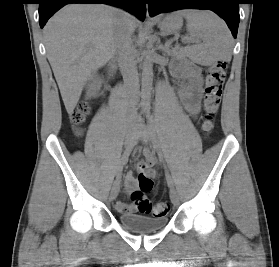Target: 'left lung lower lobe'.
Returning a JSON list of instances; mask_svg holds the SVG:
<instances>
[{
    "mask_svg": "<svg viewBox=\"0 0 279 267\" xmlns=\"http://www.w3.org/2000/svg\"><path fill=\"white\" fill-rule=\"evenodd\" d=\"M239 3V0H149L148 8L150 16L186 8L212 10L226 21L236 38L240 18Z\"/></svg>",
    "mask_w": 279,
    "mask_h": 267,
    "instance_id": "0a47b994",
    "label": "left lung lower lobe"
}]
</instances>
